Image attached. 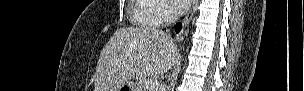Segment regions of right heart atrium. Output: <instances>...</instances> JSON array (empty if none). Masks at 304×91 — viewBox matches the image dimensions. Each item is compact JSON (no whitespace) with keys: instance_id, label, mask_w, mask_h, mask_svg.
Wrapping results in <instances>:
<instances>
[{"instance_id":"right-heart-atrium-1","label":"right heart atrium","mask_w":304,"mask_h":91,"mask_svg":"<svg viewBox=\"0 0 304 91\" xmlns=\"http://www.w3.org/2000/svg\"><path fill=\"white\" fill-rule=\"evenodd\" d=\"M155 6L152 20L157 24L165 23L169 21L172 17V10L163 0H150Z\"/></svg>"}]
</instances>
